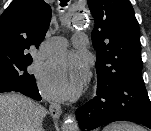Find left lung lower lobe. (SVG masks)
Returning a JSON list of instances; mask_svg holds the SVG:
<instances>
[{
	"label": "left lung lower lobe",
	"instance_id": "obj_1",
	"mask_svg": "<svg viewBox=\"0 0 151 131\" xmlns=\"http://www.w3.org/2000/svg\"><path fill=\"white\" fill-rule=\"evenodd\" d=\"M82 130L114 121H132L151 129V103L141 77L132 71L113 84L97 89V96L76 111Z\"/></svg>",
	"mask_w": 151,
	"mask_h": 131
}]
</instances>
